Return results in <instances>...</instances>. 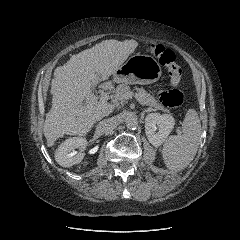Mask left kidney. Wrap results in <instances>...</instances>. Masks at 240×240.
<instances>
[{
    "label": "left kidney",
    "mask_w": 240,
    "mask_h": 240,
    "mask_svg": "<svg viewBox=\"0 0 240 240\" xmlns=\"http://www.w3.org/2000/svg\"><path fill=\"white\" fill-rule=\"evenodd\" d=\"M175 125V119L170 114L150 113L145 118V133L153 146L165 142Z\"/></svg>",
    "instance_id": "1"
}]
</instances>
